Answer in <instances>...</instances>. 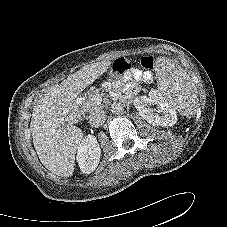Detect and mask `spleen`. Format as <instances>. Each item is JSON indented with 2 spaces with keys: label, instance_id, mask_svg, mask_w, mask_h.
<instances>
[{
  "label": "spleen",
  "instance_id": "3e777b00",
  "mask_svg": "<svg viewBox=\"0 0 227 227\" xmlns=\"http://www.w3.org/2000/svg\"><path fill=\"white\" fill-rule=\"evenodd\" d=\"M156 77L159 93L171 106L187 117H193L198 105L194 83L187 73L165 57L158 59Z\"/></svg>",
  "mask_w": 227,
  "mask_h": 227
}]
</instances>
